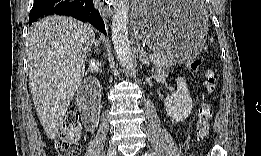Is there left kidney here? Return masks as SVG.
Returning <instances> with one entry per match:
<instances>
[{"mask_svg":"<svg viewBox=\"0 0 261 156\" xmlns=\"http://www.w3.org/2000/svg\"><path fill=\"white\" fill-rule=\"evenodd\" d=\"M177 90L165 99L164 106L167 114L176 122L184 121L192 111V98L186 80L183 77L176 79Z\"/></svg>","mask_w":261,"mask_h":156,"instance_id":"obj_1","label":"left kidney"}]
</instances>
